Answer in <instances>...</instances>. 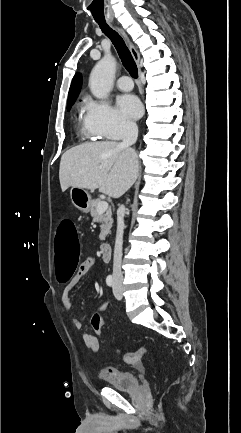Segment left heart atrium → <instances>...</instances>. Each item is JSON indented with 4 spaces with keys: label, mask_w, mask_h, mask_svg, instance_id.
<instances>
[{
    "label": "left heart atrium",
    "mask_w": 241,
    "mask_h": 433,
    "mask_svg": "<svg viewBox=\"0 0 241 433\" xmlns=\"http://www.w3.org/2000/svg\"><path fill=\"white\" fill-rule=\"evenodd\" d=\"M117 105L119 111L128 118H137L140 116L142 106L138 98L131 94H125L118 98Z\"/></svg>",
    "instance_id": "left-heart-atrium-1"
}]
</instances>
